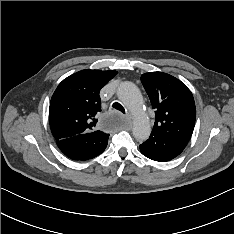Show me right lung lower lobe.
<instances>
[{"label":"right lung lower lobe","mask_w":234,"mask_h":234,"mask_svg":"<svg viewBox=\"0 0 234 234\" xmlns=\"http://www.w3.org/2000/svg\"><path fill=\"white\" fill-rule=\"evenodd\" d=\"M109 134L99 131L79 134L58 140L60 150L73 160H88L101 154L108 143Z\"/></svg>","instance_id":"obj_1"}]
</instances>
